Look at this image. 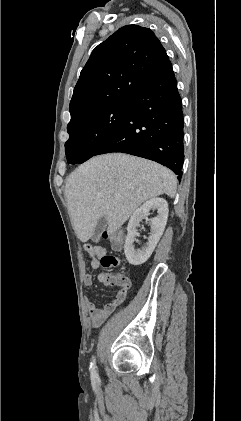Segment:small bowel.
I'll use <instances>...</instances> for the list:
<instances>
[{"mask_svg":"<svg viewBox=\"0 0 241 421\" xmlns=\"http://www.w3.org/2000/svg\"><path fill=\"white\" fill-rule=\"evenodd\" d=\"M87 254L90 257V265L93 269H97L100 266L101 258L104 257L107 252L105 248L96 246L94 250L85 249ZM100 282L104 284H112L115 282L107 281L101 274L98 275ZM83 283L86 287L93 286V278L91 275H86L84 277ZM121 286V289L117 292L116 297L104 304L101 307L96 306L92 301H90L86 296L83 299L84 305L87 309L88 319L91 325L94 328L100 327L105 320L115 311V309L120 306L126 299L127 290L130 287V281L126 279L125 283L118 284Z\"/></svg>","mask_w":241,"mask_h":421,"instance_id":"small-bowel-1","label":"small bowel"}]
</instances>
